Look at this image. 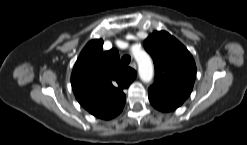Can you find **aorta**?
I'll use <instances>...</instances> for the list:
<instances>
[{
	"label": "aorta",
	"instance_id": "762f6f07",
	"mask_svg": "<svg viewBox=\"0 0 247 145\" xmlns=\"http://www.w3.org/2000/svg\"><path fill=\"white\" fill-rule=\"evenodd\" d=\"M133 55L138 63L140 79L148 83L154 75V67L150 56L143 50H133Z\"/></svg>",
	"mask_w": 247,
	"mask_h": 145
}]
</instances>
